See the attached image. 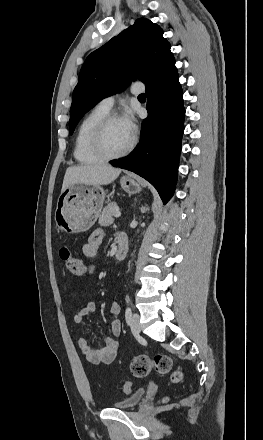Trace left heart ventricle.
<instances>
[{
	"label": "left heart ventricle",
	"instance_id": "b2bd125f",
	"mask_svg": "<svg viewBox=\"0 0 263 440\" xmlns=\"http://www.w3.org/2000/svg\"><path fill=\"white\" fill-rule=\"evenodd\" d=\"M105 146L111 153L123 150L131 140V135L126 131L121 120L109 124L105 131Z\"/></svg>",
	"mask_w": 263,
	"mask_h": 440
}]
</instances>
